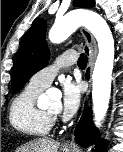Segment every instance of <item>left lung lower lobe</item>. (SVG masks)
Listing matches in <instances>:
<instances>
[{"mask_svg": "<svg viewBox=\"0 0 123 152\" xmlns=\"http://www.w3.org/2000/svg\"><path fill=\"white\" fill-rule=\"evenodd\" d=\"M88 52V50H86ZM97 131L92 121V113L90 109H86L75 129V141L87 148L92 141L97 142ZM106 144L104 142H98L95 147V152L106 151Z\"/></svg>", "mask_w": 123, "mask_h": 152, "instance_id": "left-lung-lower-lobe-1", "label": "left lung lower lobe"}]
</instances>
